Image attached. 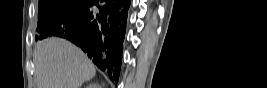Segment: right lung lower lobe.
Here are the masks:
<instances>
[{"label":"right lung lower lobe","instance_id":"right-lung-lower-lobe-1","mask_svg":"<svg viewBox=\"0 0 267 88\" xmlns=\"http://www.w3.org/2000/svg\"><path fill=\"white\" fill-rule=\"evenodd\" d=\"M130 3L131 0H90L71 18L54 25L48 36L70 40L117 82Z\"/></svg>","mask_w":267,"mask_h":88}]
</instances>
